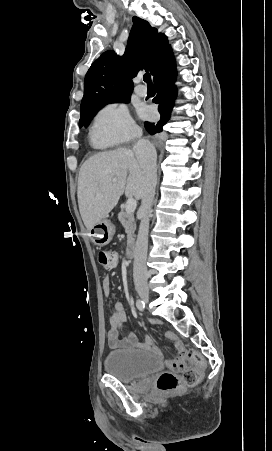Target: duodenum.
Here are the masks:
<instances>
[{"label": "duodenum", "instance_id": "obj_1", "mask_svg": "<svg viewBox=\"0 0 272 451\" xmlns=\"http://www.w3.org/2000/svg\"><path fill=\"white\" fill-rule=\"evenodd\" d=\"M126 254H127V256H128L129 258H133L134 255H135V249H134V246L129 245V246L127 247V250H126Z\"/></svg>", "mask_w": 272, "mask_h": 451}]
</instances>
